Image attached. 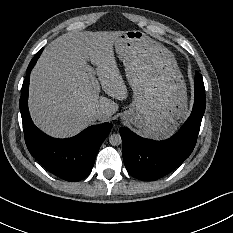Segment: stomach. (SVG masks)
Wrapping results in <instances>:
<instances>
[{"instance_id":"obj_1","label":"stomach","mask_w":233,"mask_h":233,"mask_svg":"<svg viewBox=\"0 0 233 233\" xmlns=\"http://www.w3.org/2000/svg\"><path fill=\"white\" fill-rule=\"evenodd\" d=\"M113 45L133 90L122 119L144 136H170L188 113L186 84L173 53L140 30L122 31Z\"/></svg>"}]
</instances>
